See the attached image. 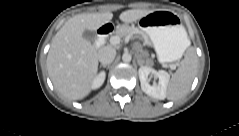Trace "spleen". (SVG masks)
Instances as JSON below:
<instances>
[{
    "label": "spleen",
    "mask_w": 239,
    "mask_h": 136,
    "mask_svg": "<svg viewBox=\"0 0 239 136\" xmlns=\"http://www.w3.org/2000/svg\"><path fill=\"white\" fill-rule=\"evenodd\" d=\"M188 46L190 40L187 39ZM197 69V56L191 49L185 56L182 65L172 75L171 81L168 86L167 98L168 100L176 101L184 97L193 82Z\"/></svg>",
    "instance_id": "3e777b00"
}]
</instances>
